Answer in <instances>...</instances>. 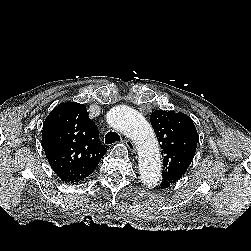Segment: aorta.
Masks as SVG:
<instances>
[{"instance_id":"1","label":"aorta","mask_w":251,"mask_h":251,"mask_svg":"<svg viewBox=\"0 0 251 251\" xmlns=\"http://www.w3.org/2000/svg\"><path fill=\"white\" fill-rule=\"evenodd\" d=\"M108 124L131 137L140 153V176L147 187L157 184L161 178L160 151L156 136L148 121L127 106L112 108L107 114Z\"/></svg>"}]
</instances>
